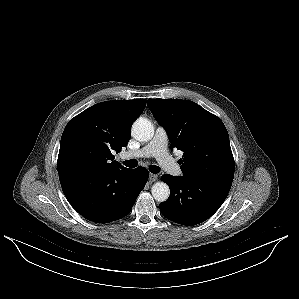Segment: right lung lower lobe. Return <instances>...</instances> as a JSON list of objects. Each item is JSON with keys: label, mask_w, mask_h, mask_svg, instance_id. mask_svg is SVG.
Segmentation results:
<instances>
[{"label": "right lung lower lobe", "mask_w": 299, "mask_h": 299, "mask_svg": "<svg viewBox=\"0 0 299 299\" xmlns=\"http://www.w3.org/2000/svg\"><path fill=\"white\" fill-rule=\"evenodd\" d=\"M149 173L143 167L59 176L73 208L86 219L107 223L125 217L144 189Z\"/></svg>", "instance_id": "1"}]
</instances>
